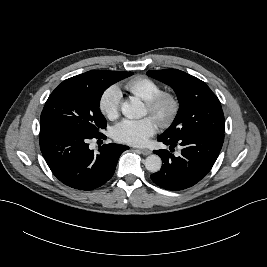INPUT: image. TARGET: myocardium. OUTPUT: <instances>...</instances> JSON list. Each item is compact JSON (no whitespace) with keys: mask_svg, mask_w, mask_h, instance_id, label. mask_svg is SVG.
Masks as SVG:
<instances>
[{"mask_svg":"<svg viewBox=\"0 0 267 267\" xmlns=\"http://www.w3.org/2000/svg\"><path fill=\"white\" fill-rule=\"evenodd\" d=\"M145 103L148 113L162 128L171 126L180 111V101L177 95L170 91H160Z\"/></svg>","mask_w":267,"mask_h":267,"instance_id":"f54148a6","label":"myocardium"}]
</instances>
